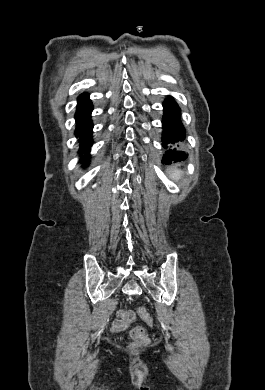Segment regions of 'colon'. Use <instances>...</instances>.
<instances>
[{"label":"colon","mask_w":265,"mask_h":390,"mask_svg":"<svg viewBox=\"0 0 265 390\" xmlns=\"http://www.w3.org/2000/svg\"><path fill=\"white\" fill-rule=\"evenodd\" d=\"M137 312L147 324L152 325V317L144 307H139ZM117 316L120 320L127 323L133 322L135 320V313L131 310H120ZM131 337L134 340V343H132L131 347L144 344L148 341L145 329L141 326H136L131 330Z\"/></svg>","instance_id":"obj_1"}]
</instances>
